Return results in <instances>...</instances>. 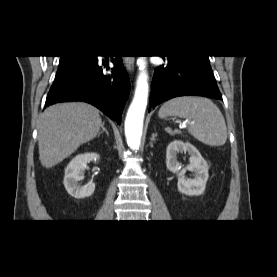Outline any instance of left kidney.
Segmentation results:
<instances>
[{
	"instance_id": "obj_1",
	"label": "left kidney",
	"mask_w": 277,
	"mask_h": 277,
	"mask_svg": "<svg viewBox=\"0 0 277 277\" xmlns=\"http://www.w3.org/2000/svg\"><path fill=\"white\" fill-rule=\"evenodd\" d=\"M181 152H188L190 155V163L185 168L177 160V155ZM166 166L169 171L177 173L179 192L188 196H198L204 192L209 166L192 144L181 140L171 142L166 150ZM187 170L193 172V178L185 177Z\"/></svg>"
}]
</instances>
